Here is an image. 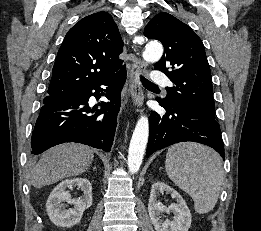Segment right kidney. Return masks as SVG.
Wrapping results in <instances>:
<instances>
[{
    "label": "right kidney",
    "instance_id": "right-kidney-1",
    "mask_svg": "<svg viewBox=\"0 0 261 231\" xmlns=\"http://www.w3.org/2000/svg\"><path fill=\"white\" fill-rule=\"evenodd\" d=\"M77 187L83 196L71 199L67 189ZM64 202L72 204L73 208L65 209ZM92 205V185L86 178L66 179L60 182L50 193L46 211L52 223L56 226L70 228L80 222L83 212Z\"/></svg>",
    "mask_w": 261,
    "mask_h": 231
}]
</instances>
